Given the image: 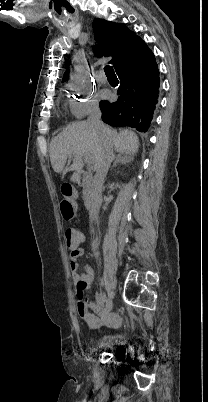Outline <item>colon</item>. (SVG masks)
Wrapping results in <instances>:
<instances>
[{"instance_id": "5ec220e1", "label": "colon", "mask_w": 208, "mask_h": 402, "mask_svg": "<svg viewBox=\"0 0 208 402\" xmlns=\"http://www.w3.org/2000/svg\"><path fill=\"white\" fill-rule=\"evenodd\" d=\"M75 191V187L71 183H63L60 188V193L63 197H70ZM76 212V207L74 205H63L62 213L65 214L64 219L66 222H73L75 219L74 213ZM80 236L79 233L73 228L67 229L65 231V243L69 249H71L70 259L73 262L77 261V255H83L84 249L79 247ZM88 288L84 289V296L79 300L80 306L79 311L81 317H85L88 314V306L91 305L92 300L90 297H87Z\"/></svg>"}]
</instances>
